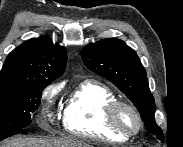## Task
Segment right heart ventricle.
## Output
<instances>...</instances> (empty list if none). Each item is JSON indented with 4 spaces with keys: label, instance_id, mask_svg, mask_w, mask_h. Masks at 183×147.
Here are the masks:
<instances>
[{
    "label": "right heart ventricle",
    "instance_id": "right-heart-ventricle-1",
    "mask_svg": "<svg viewBox=\"0 0 183 147\" xmlns=\"http://www.w3.org/2000/svg\"><path fill=\"white\" fill-rule=\"evenodd\" d=\"M115 100L116 94L107 85L92 80L81 82L66 99L64 129L84 139L128 140V136L113 131L105 121L106 108Z\"/></svg>",
    "mask_w": 183,
    "mask_h": 147
}]
</instances>
